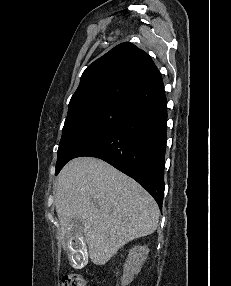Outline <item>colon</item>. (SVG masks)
<instances>
[{
	"label": "colon",
	"mask_w": 231,
	"mask_h": 286,
	"mask_svg": "<svg viewBox=\"0 0 231 286\" xmlns=\"http://www.w3.org/2000/svg\"><path fill=\"white\" fill-rule=\"evenodd\" d=\"M62 286H87V281L79 273H70L63 277Z\"/></svg>",
	"instance_id": "1"
}]
</instances>
